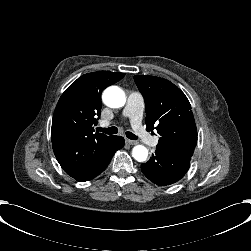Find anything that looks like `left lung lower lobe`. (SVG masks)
I'll use <instances>...</instances> for the list:
<instances>
[{"label": "left lung lower lobe", "instance_id": "1", "mask_svg": "<svg viewBox=\"0 0 251 251\" xmlns=\"http://www.w3.org/2000/svg\"><path fill=\"white\" fill-rule=\"evenodd\" d=\"M191 157L156 150L150 160L141 164V171L153 183L166 186L179 181L190 167Z\"/></svg>", "mask_w": 251, "mask_h": 251}]
</instances>
